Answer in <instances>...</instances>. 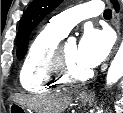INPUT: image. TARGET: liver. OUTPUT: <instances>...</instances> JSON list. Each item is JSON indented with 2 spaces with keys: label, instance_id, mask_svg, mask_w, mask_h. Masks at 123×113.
Returning <instances> with one entry per match:
<instances>
[{
  "label": "liver",
  "instance_id": "1",
  "mask_svg": "<svg viewBox=\"0 0 123 113\" xmlns=\"http://www.w3.org/2000/svg\"><path fill=\"white\" fill-rule=\"evenodd\" d=\"M12 99L37 113H62L72 102L70 94L53 96H14Z\"/></svg>",
  "mask_w": 123,
  "mask_h": 113
}]
</instances>
